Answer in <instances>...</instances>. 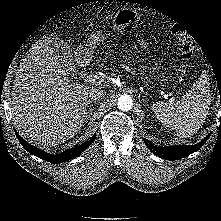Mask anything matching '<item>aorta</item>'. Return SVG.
Returning <instances> with one entry per match:
<instances>
[{
    "label": "aorta",
    "mask_w": 221,
    "mask_h": 221,
    "mask_svg": "<svg viewBox=\"0 0 221 221\" xmlns=\"http://www.w3.org/2000/svg\"><path fill=\"white\" fill-rule=\"evenodd\" d=\"M117 105L121 111H129L133 106V100L129 95L124 94L118 98Z\"/></svg>",
    "instance_id": "762f6f07"
}]
</instances>
